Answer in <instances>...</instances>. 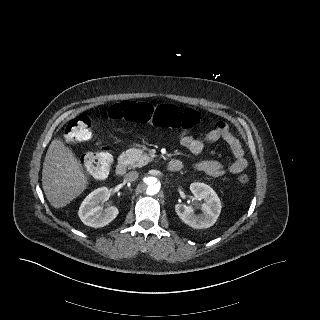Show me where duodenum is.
Here are the masks:
<instances>
[{
	"label": "duodenum",
	"mask_w": 320,
	"mask_h": 320,
	"mask_svg": "<svg viewBox=\"0 0 320 320\" xmlns=\"http://www.w3.org/2000/svg\"><path fill=\"white\" fill-rule=\"evenodd\" d=\"M182 168H183V163L179 160H176V159L169 161L167 164V169L170 172H179L180 170H182ZM126 172H127L126 163L124 161L118 162V164L116 166V174L118 176H123L126 174Z\"/></svg>",
	"instance_id": "1"
}]
</instances>
